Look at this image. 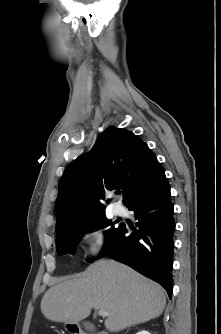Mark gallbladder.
Listing matches in <instances>:
<instances>
[{"label": "gallbladder", "mask_w": 221, "mask_h": 334, "mask_svg": "<svg viewBox=\"0 0 221 334\" xmlns=\"http://www.w3.org/2000/svg\"><path fill=\"white\" fill-rule=\"evenodd\" d=\"M84 328L87 330V331H94V326L91 324V323H84Z\"/></svg>", "instance_id": "bac80fb5"}]
</instances>
